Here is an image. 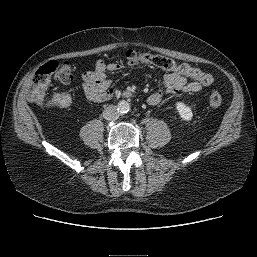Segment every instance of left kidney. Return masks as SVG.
I'll return each mask as SVG.
<instances>
[{
  "label": "left kidney",
  "instance_id": "5707ae66",
  "mask_svg": "<svg viewBox=\"0 0 257 257\" xmlns=\"http://www.w3.org/2000/svg\"><path fill=\"white\" fill-rule=\"evenodd\" d=\"M176 110L178 111L180 117L185 121H190L193 117L191 108L182 102L176 103Z\"/></svg>",
  "mask_w": 257,
  "mask_h": 257
}]
</instances>
